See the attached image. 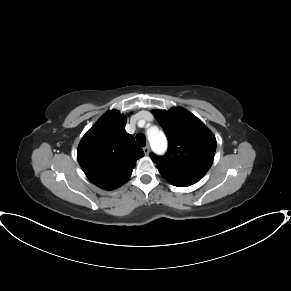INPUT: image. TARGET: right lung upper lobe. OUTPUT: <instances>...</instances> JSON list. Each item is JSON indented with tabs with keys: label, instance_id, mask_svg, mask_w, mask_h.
<instances>
[{
	"label": "right lung upper lobe",
	"instance_id": "cb5924a9",
	"mask_svg": "<svg viewBox=\"0 0 291 291\" xmlns=\"http://www.w3.org/2000/svg\"><path fill=\"white\" fill-rule=\"evenodd\" d=\"M126 119L118 111L107 112L82 138L78 162L96 186L113 190L131 176L136 161L144 156L134 137L125 131Z\"/></svg>",
	"mask_w": 291,
	"mask_h": 291
}]
</instances>
